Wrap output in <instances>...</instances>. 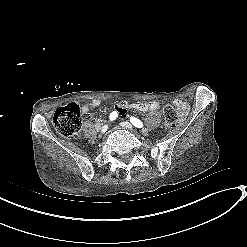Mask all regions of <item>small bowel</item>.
Wrapping results in <instances>:
<instances>
[{
    "label": "small bowel",
    "instance_id": "small-bowel-1",
    "mask_svg": "<svg viewBox=\"0 0 247 247\" xmlns=\"http://www.w3.org/2000/svg\"><path fill=\"white\" fill-rule=\"evenodd\" d=\"M100 105L99 99H92L81 106V112L84 115H88L90 110L98 107ZM176 106L181 110L182 116L187 112L188 107L182 101H176ZM161 108V103L159 101H150V102H137V103H127L119 102L115 105L114 110L119 117L125 118L127 116L128 110H135L138 112H157Z\"/></svg>",
    "mask_w": 247,
    "mask_h": 247
}]
</instances>
